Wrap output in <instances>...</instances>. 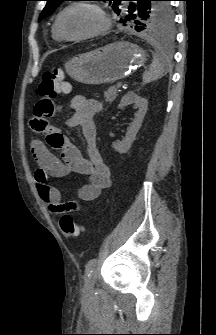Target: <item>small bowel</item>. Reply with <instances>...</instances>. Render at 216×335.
<instances>
[{
    "label": "small bowel",
    "mask_w": 216,
    "mask_h": 335,
    "mask_svg": "<svg viewBox=\"0 0 216 335\" xmlns=\"http://www.w3.org/2000/svg\"><path fill=\"white\" fill-rule=\"evenodd\" d=\"M52 94L41 98L34 109L35 116L30 120L33 133L46 135L48 145L60 152V158L54 155L48 146L39 139L30 143L31 154L36 163L35 184L38 194L53 214L73 211L80 208L82 202L97 199L101 192L111 185L108 166L105 164L97 145V131L93 117L101 112L102 105L96 99L76 95L70 102L73 114L67 119L70 128L80 127L87 146V157L73 145L61 131L52 127L51 115H65L66 110ZM50 138H55L50 143ZM75 172L87 177V182L78 190L77 200L62 202L60 191L49 184L50 178H60Z\"/></svg>",
    "instance_id": "small-bowel-1"
}]
</instances>
